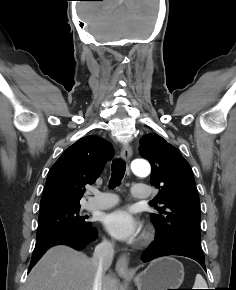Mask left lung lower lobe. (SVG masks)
<instances>
[{"instance_id":"1","label":"left lung lower lobe","mask_w":236,"mask_h":290,"mask_svg":"<svg viewBox=\"0 0 236 290\" xmlns=\"http://www.w3.org/2000/svg\"><path fill=\"white\" fill-rule=\"evenodd\" d=\"M157 232L156 241L143 252V262H148L161 256L180 255L196 260L206 270L204 254L200 245L186 238H180L174 242H169L165 240L160 231Z\"/></svg>"}]
</instances>
